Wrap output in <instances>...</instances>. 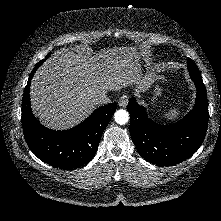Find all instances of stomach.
<instances>
[{"label":"stomach","instance_id":"obj_1","mask_svg":"<svg viewBox=\"0 0 221 221\" xmlns=\"http://www.w3.org/2000/svg\"><path fill=\"white\" fill-rule=\"evenodd\" d=\"M162 87L160 86V84H156L153 87V96L151 98V105L155 106L158 102V98L162 95Z\"/></svg>","mask_w":221,"mask_h":221}]
</instances>
